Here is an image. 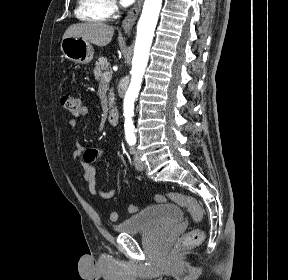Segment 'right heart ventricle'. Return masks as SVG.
Listing matches in <instances>:
<instances>
[{
    "mask_svg": "<svg viewBox=\"0 0 288 280\" xmlns=\"http://www.w3.org/2000/svg\"><path fill=\"white\" fill-rule=\"evenodd\" d=\"M75 14L87 22H102L109 17L106 0H78Z\"/></svg>",
    "mask_w": 288,
    "mask_h": 280,
    "instance_id": "obj_1",
    "label": "right heart ventricle"
}]
</instances>
